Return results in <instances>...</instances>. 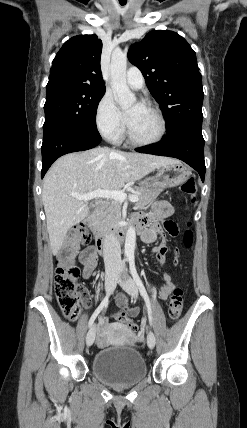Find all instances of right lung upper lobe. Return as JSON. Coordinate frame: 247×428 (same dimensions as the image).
Segmentation results:
<instances>
[{
    "instance_id": "right-lung-upper-lobe-1",
    "label": "right lung upper lobe",
    "mask_w": 247,
    "mask_h": 428,
    "mask_svg": "<svg viewBox=\"0 0 247 428\" xmlns=\"http://www.w3.org/2000/svg\"><path fill=\"white\" fill-rule=\"evenodd\" d=\"M101 51L102 41L96 35H79L66 41L53 61L46 93L64 88L105 90Z\"/></svg>"
}]
</instances>
